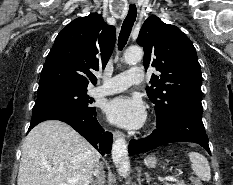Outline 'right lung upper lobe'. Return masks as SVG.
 Listing matches in <instances>:
<instances>
[{"instance_id":"1","label":"right lung upper lobe","mask_w":233,"mask_h":185,"mask_svg":"<svg viewBox=\"0 0 233 185\" xmlns=\"http://www.w3.org/2000/svg\"><path fill=\"white\" fill-rule=\"evenodd\" d=\"M115 45V27L97 13L70 22L56 37L41 72L38 90L87 89L96 84L92 71L105 68Z\"/></svg>"}]
</instances>
